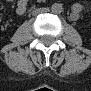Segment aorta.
<instances>
[{
    "label": "aorta",
    "mask_w": 91,
    "mask_h": 91,
    "mask_svg": "<svg viewBox=\"0 0 91 91\" xmlns=\"http://www.w3.org/2000/svg\"><path fill=\"white\" fill-rule=\"evenodd\" d=\"M62 10H63L62 4H59V3H54L51 7V11L54 14H60Z\"/></svg>",
    "instance_id": "obj_1"
}]
</instances>
